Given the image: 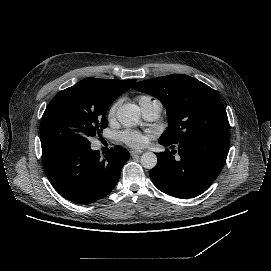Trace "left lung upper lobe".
I'll list each match as a JSON object with an SVG mask.
<instances>
[{
    "mask_svg": "<svg viewBox=\"0 0 271 271\" xmlns=\"http://www.w3.org/2000/svg\"><path fill=\"white\" fill-rule=\"evenodd\" d=\"M134 89L160 99L167 110L168 128L159 140L186 143L203 134L230 138L221 100L201 81L188 75L172 74L137 82Z\"/></svg>",
    "mask_w": 271,
    "mask_h": 271,
    "instance_id": "1",
    "label": "left lung upper lobe"
}]
</instances>
